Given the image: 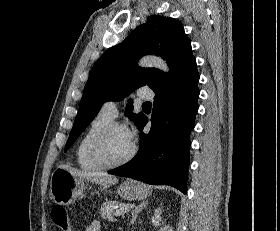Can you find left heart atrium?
<instances>
[{
    "label": "left heart atrium",
    "instance_id": "1",
    "mask_svg": "<svg viewBox=\"0 0 280 231\" xmlns=\"http://www.w3.org/2000/svg\"><path fill=\"white\" fill-rule=\"evenodd\" d=\"M124 135H125V139L126 141L132 145L133 144V141H134V136H135V133L133 130L129 129V128H125L124 129Z\"/></svg>",
    "mask_w": 280,
    "mask_h": 231
}]
</instances>
